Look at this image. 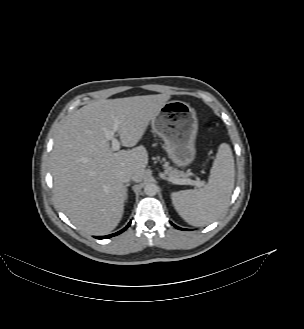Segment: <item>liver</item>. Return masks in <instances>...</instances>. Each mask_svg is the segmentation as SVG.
<instances>
[{"label": "liver", "instance_id": "6515ba94", "mask_svg": "<svg viewBox=\"0 0 304 329\" xmlns=\"http://www.w3.org/2000/svg\"><path fill=\"white\" fill-rule=\"evenodd\" d=\"M169 99L157 94L93 101L60 128L51 155L54 195L78 229L91 235L115 229L125 201L119 173L129 171L133 181L141 182L148 164L145 147L115 152L105 131L117 124L121 144L134 147Z\"/></svg>", "mask_w": 304, "mask_h": 329}]
</instances>
